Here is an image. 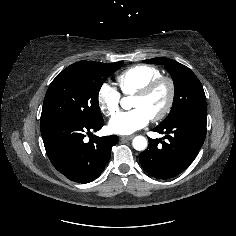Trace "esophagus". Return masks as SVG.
Instances as JSON below:
<instances>
[{"instance_id": "esophagus-1", "label": "esophagus", "mask_w": 236, "mask_h": 236, "mask_svg": "<svg viewBox=\"0 0 236 236\" xmlns=\"http://www.w3.org/2000/svg\"><path fill=\"white\" fill-rule=\"evenodd\" d=\"M133 135H129V136H121V140H131V139H133Z\"/></svg>"}]
</instances>
